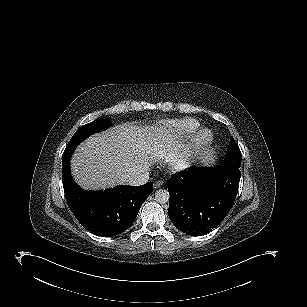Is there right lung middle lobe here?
<instances>
[{
    "mask_svg": "<svg viewBox=\"0 0 307 307\" xmlns=\"http://www.w3.org/2000/svg\"><path fill=\"white\" fill-rule=\"evenodd\" d=\"M109 126H111V122L108 119H96L91 123L81 126L71 138L65 150L75 149L77 145L85 140L88 136L105 130Z\"/></svg>",
    "mask_w": 307,
    "mask_h": 307,
    "instance_id": "obj_1",
    "label": "right lung middle lobe"
}]
</instances>
